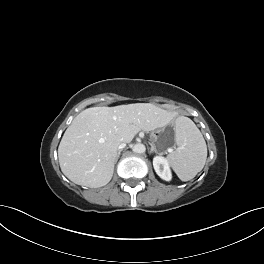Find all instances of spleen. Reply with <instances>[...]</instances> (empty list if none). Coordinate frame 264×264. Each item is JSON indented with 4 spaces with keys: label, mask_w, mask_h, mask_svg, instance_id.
I'll return each mask as SVG.
<instances>
[{
    "label": "spleen",
    "mask_w": 264,
    "mask_h": 264,
    "mask_svg": "<svg viewBox=\"0 0 264 264\" xmlns=\"http://www.w3.org/2000/svg\"><path fill=\"white\" fill-rule=\"evenodd\" d=\"M177 149L167 159L182 181L194 178L204 167L207 159L206 142L195 123L188 117H178L175 123Z\"/></svg>",
    "instance_id": "spleen-1"
}]
</instances>
